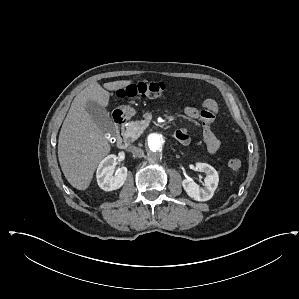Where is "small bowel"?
I'll return each instance as SVG.
<instances>
[{
    "mask_svg": "<svg viewBox=\"0 0 299 299\" xmlns=\"http://www.w3.org/2000/svg\"><path fill=\"white\" fill-rule=\"evenodd\" d=\"M218 112V103L211 98L203 100L199 108L194 106H186L184 108V113L187 117L201 120L203 140L209 154H215L220 148V142L212 129ZM175 136L183 145H187L190 142V137L184 129H178Z\"/></svg>",
    "mask_w": 299,
    "mask_h": 299,
    "instance_id": "obj_1",
    "label": "small bowel"
}]
</instances>
